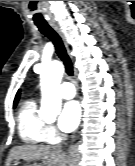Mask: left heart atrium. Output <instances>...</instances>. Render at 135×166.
Wrapping results in <instances>:
<instances>
[{
	"label": "left heart atrium",
	"instance_id": "left-heart-atrium-1",
	"mask_svg": "<svg viewBox=\"0 0 135 166\" xmlns=\"http://www.w3.org/2000/svg\"><path fill=\"white\" fill-rule=\"evenodd\" d=\"M81 110L77 101L71 100L66 102L62 109L58 120L59 128L63 132L73 131L80 119Z\"/></svg>",
	"mask_w": 135,
	"mask_h": 166
}]
</instances>
